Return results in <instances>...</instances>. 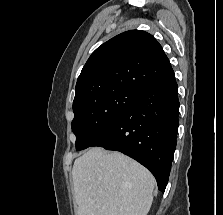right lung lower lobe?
Wrapping results in <instances>:
<instances>
[{
	"mask_svg": "<svg viewBox=\"0 0 223 215\" xmlns=\"http://www.w3.org/2000/svg\"><path fill=\"white\" fill-rule=\"evenodd\" d=\"M175 77L141 93L120 119L92 146L120 151L145 166L165 191L178 131Z\"/></svg>",
	"mask_w": 223,
	"mask_h": 215,
	"instance_id": "98d812e1",
	"label": "right lung lower lobe"
}]
</instances>
